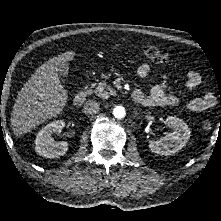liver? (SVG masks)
Masks as SVG:
<instances>
[{
  "mask_svg": "<svg viewBox=\"0 0 221 221\" xmlns=\"http://www.w3.org/2000/svg\"><path fill=\"white\" fill-rule=\"evenodd\" d=\"M74 56L75 52L67 51L49 59L24 84L11 113L15 136L30 132L63 111L68 95L60 82L58 71L60 64L73 60Z\"/></svg>",
  "mask_w": 221,
  "mask_h": 221,
  "instance_id": "1",
  "label": "liver"
}]
</instances>
